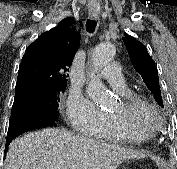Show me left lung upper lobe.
I'll return each instance as SVG.
<instances>
[{"instance_id": "left-lung-upper-lobe-1", "label": "left lung upper lobe", "mask_w": 177, "mask_h": 169, "mask_svg": "<svg viewBox=\"0 0 177 169\" xmlns=\"http://www.w3.org/2000/svg\"><path fill=\"white\" fill-rule=\"evenodd\" d=\"M123 41L127 47L130 60L135 70L141 75L146 86L153 92L158 104L163 107L159 76L155 63L151 59L146 47L135 38L124 33Z\"/></svg>"}]
</instances>
